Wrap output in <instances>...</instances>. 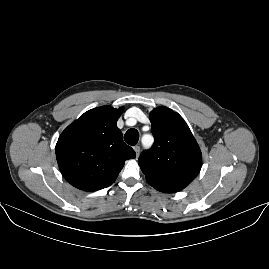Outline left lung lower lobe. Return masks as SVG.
<instances>
[{
	"label": "left lung lower lobe",
	"instance_id": "obj_1",
	"mask_svg": "<svg viewBox=\"0 0 269 269\" xmlns=\"http://www.w3.org/2000/svg\"><path fill=\"white\" fill-rule=\"evenodd\" d=\"M149 184L153 186L155 189H157L158 191L165 192V193H174L185 188L181 186L162 185V184H158L154 182H149Z\"/></svg>",
	"mask_w": 269,
	"mask_h": 269
}]
</instances>
